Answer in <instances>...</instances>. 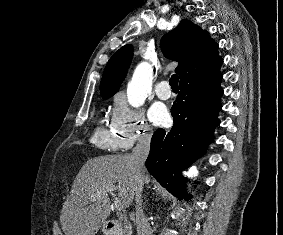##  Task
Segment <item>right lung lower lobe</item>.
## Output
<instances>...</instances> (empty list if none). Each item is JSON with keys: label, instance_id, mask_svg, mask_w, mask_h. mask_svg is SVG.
I'll use <instances>...</instances> for the list:
<instances>
[{"label": "right lung lower lobe", "instance_id": "obj_1", "mask_svg": "<svg viewBox=\"0 0 283 235\" xmlns=\"http://www.w3.org/2000/svg\"><path fill=\"white\" fill-rule=\"evenodd\" d=\"M219 70L190 82L180 84V93L171 112L174 125L169 132L157 130L151 139L146 168L172 195L190 200L186 181L181 171L201 157L213 139L214 128L219 124L221 109Z\"/></svg>", "mask_w": 283, "mask_h": 235}]
</instances>
